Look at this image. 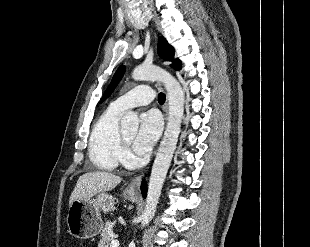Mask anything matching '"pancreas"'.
I'll return each instance as SVG.
<instances>
[{"instance_id": "cf45deb5", "label": "pancreas", "mask_w": 310, "mask_h": 247, "mask_svg": "<svg viewBox=\"0 0 310 247\" xmlns=\"http://www.w3.org/2000/svg\"><path fill=\"white\" fill-rule=\"evenodd\" d=\"M113 237H114L113 223L108 220L105 223V227L101 232V239L99 241L98 247H110Z\"/></svg>"}]
</instances>
